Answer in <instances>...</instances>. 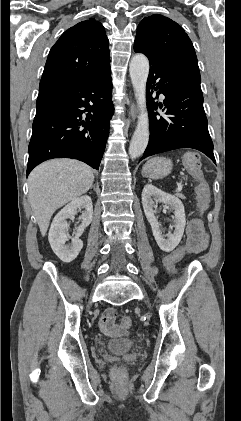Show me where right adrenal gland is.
Here are the masks:
<instances>
[{
  "label": "right adrenal gland",
  "instance_id": "1",
  "mask_svg": "<svg viewBox=\"0 0 241 421\" xmlns=\"http://www.w3.org/2000/svg\"><path fill=\"white\" fill-rule=\"evenodd\" d=\"M93 188V190L95 191V185H93L92 187H91V189Z\"/></svg>",
  "mask_w": 241,
  "mask_h": 421
}]
</instances>
